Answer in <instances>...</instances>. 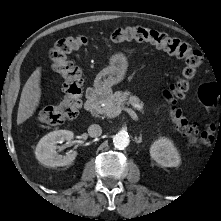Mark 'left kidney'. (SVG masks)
<instances>
[{
	"label": "left kidney",
	"instance_id": "1",
	"mask_svg": "<svg viewBox=\"0 0 221 221\" xmlns=\"http://www.w3.org/2000/svg\"><path fill=\"white\" fill-rule=\"evenodd\" d=\"M150 155L163 167H177L181 161L178 150L167 137H161L151 145Z\"/></svg>",
	"mask_w": 221,
	"mask_h": 221
}]
</instances>
